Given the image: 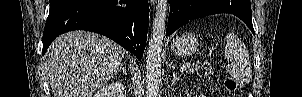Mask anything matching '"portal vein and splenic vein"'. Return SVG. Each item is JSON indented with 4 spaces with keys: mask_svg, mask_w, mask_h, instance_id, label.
<instances>
[{
    "mask_svg": "<svg viewBox=\"0 0 302 97\" xmlns=\"http://www.w3.org/2000/svg\"><path fill=\"white\" fill-rule=\"evenodd\" d=\"M188 67H190V63H187V64L183 65V66L180 68V71L183 72V71H185Z\"/></svg>",
    "mask_w": 302,
    "mask_h": 97,
    "instance_id": "1",
    "label": "portal vein and splenic vein"
}]
</instances>
